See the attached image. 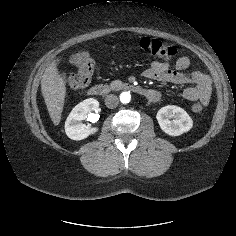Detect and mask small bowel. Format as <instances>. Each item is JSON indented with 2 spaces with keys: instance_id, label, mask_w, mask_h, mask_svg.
Returning a JSON list of instances; mask_svg holds the SVG:
<instances>
[{
  "instance_id": "1",
  "label": "small bowel",
  "mask_w": 236,
  "mask_h": 236,
  "mask_svg": "<svg viewBox=\"0 0 236 236\" xmlns=\"http://www.w3.org/2000/svg\"><path fill=\"white\" fill-rule=\"evenodd\" d=\"M190 64L191 61L186 56L179 57L174 65L170 62L154 61L144 71V76L159 82L186 85L183 90V97L188 101L198 102L206 106L210 102L212 93L211 79L200 71L186 72ZM152 91L154 95L149 100L158 101L161 94L156 90Z\"/></svg>"
}]
</instances>
